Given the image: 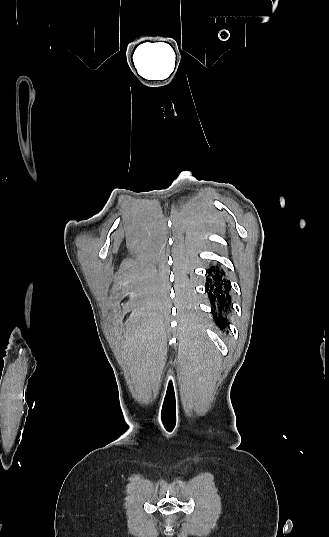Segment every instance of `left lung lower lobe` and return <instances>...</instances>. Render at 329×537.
Segmentation results:
<instances>
[{"mask_svg":"<svg viewBox=\"0 0 329 537\" xmlns=\"http://www.w3.org/2000/svg\"><path fill=\"white\" fill-rule=\"evenodd\" d=\"M209 278L207 279L206 291L209 296V300L216 307L212 310L215 311L214 318L218 326L227 331L225 328L227 315L231 312V297L229 291L231 289V283L225 277V272L219 267H211L208 271Z\"/></svg>","mask_w":329,"mask_h":537,"instance_id":"1","label":"left lung lower lobe"}]
</instances>
